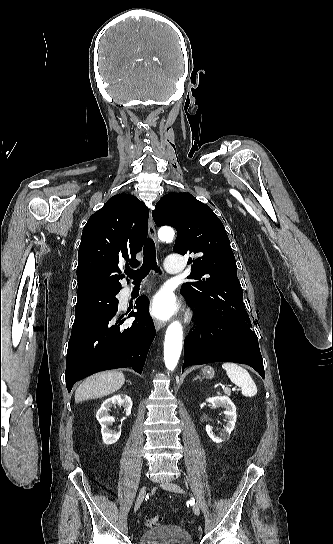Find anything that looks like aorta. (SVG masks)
<instances>
[{
	"instance_id": "obj_1",
	"label": "aorta",
	"mask_w": 333,
	"mask_h": 544,
	"mask_svg": "<svg viewBox=\"0 0 333 544\" xmlns=\"http://www.w3.org/2000/svg\"><path fill=\"white\" fill-rule=\"evenodd\" d=\"M174 231L170 227H162L158 232V237L165 242H170L174 238ZM183 330L179 321L172 322L166 331L164 342V361L166 368L173 371L179 361L182 351Z\"/></svg>"
}]
</instances>
